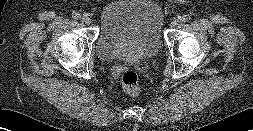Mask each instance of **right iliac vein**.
I'll list each match as a JSON object with an SVG mask.
<instances>
[{"label": "right iliac vein", "instance_id": "right-iliac-vein-1", "mask_svg": "<svg viewBox=\"0 0 253 131\" xmlns=\"http://www.w3.org/2000/svg\"><path fill=\"white\" fill-rule=\"evenodd\" d=\"M81 20L83 23H85L87 25L91 24V18L86 14L81 16Z\"/></svg>", "mask_w": 253, "mask_h": 131}]
</instances>
